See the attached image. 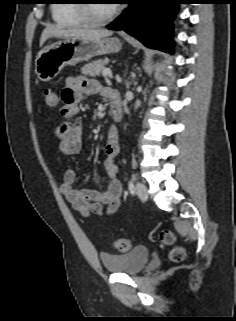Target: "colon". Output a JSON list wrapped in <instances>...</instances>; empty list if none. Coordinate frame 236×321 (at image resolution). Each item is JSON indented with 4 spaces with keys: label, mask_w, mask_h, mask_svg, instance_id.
<instances>
[{
    "label": "colon",
    "mask_w": 236,
    "mask_h": 321,
    "mask_svg": "<svg viewBox=\"0 0 236 321\" xmlns=\"http://www.w3.org/2000/svg\"><path fill=\"white\" fill-rule=\"evenodd\" d=\"M44 105L49 110H54L58 106L57 93L52 90H46L44 92ZM159 239L163 244L173 245L176 241L175 235L170 230H163ZM114 248L120 253H127L131 250L132 242L129 239L118 238L113 241ZM186 252L182 246H175L170 251V258L173 261H181L185 258Z\"/></svg>",
    "instance_id": "obj_1"
}]
</instances>
